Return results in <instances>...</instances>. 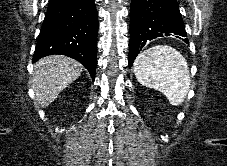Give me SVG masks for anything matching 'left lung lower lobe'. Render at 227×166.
Listing matches in <instances>:
<instances>
[{"label": "left lung lower lobe", "instance_id": "obj_1", "mask_svg": "<svg viewBox=\"0 0 227 166\" xmlns=\"http://www.w3.org/2000/svg\"><path fill=\"white\" fill-rule=\"evenodd\" d=\"M172 33L187 37L177 0H132L129 67L149 40ZM182 40L188 43L187 39Z\"/></svg>", "mask_w": 227, "mask_h": 166}]
</instances>
